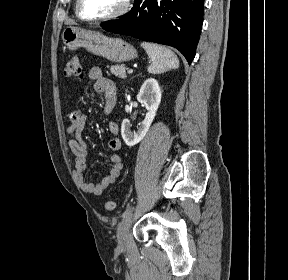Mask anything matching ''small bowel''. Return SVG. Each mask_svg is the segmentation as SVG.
Returning a JSON list of instances; mask_svg holds the SVG:
<instances>
[{
  "label": "small bowel",
  "instance_id": "1",
  "mask_svg": "<svg viewBox=\"0 0 288 280\" xmlns=\"http://www.w3.org/2000/svg\"><path fill=\"white\" fill-rule=\"evenodd\" d=\"M89 79L94 82V89L105 97V112L112 113L117 99L116 84L106 78L101 69L92 67L89 71ZM88 121V116L79 109L71 111L69 114V124L66 127V133L69 135L68 146L75 158L74 178L81 191L93 195H101L111 184L117 181L120 177L124 165L119 155L122 143L117 137L119 133V126L114 121H109L107 128L112 138L108 142V147L112 152L110 161L112 167L106 176L98 183H90L84 179L83 172L87 167V160L89 155V148L86 142L82 139V131L84 130Z\"/></svg>",
  "mask_w": 288,
  "mask_h": 280
}]
</instances>
